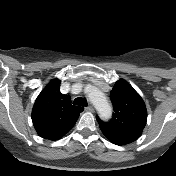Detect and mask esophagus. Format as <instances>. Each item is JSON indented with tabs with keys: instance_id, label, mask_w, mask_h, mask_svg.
<instances>
[{
	"instance_id": "34e87169",
	"label": "esophagus",
	"mask_w": 176,
	"mask_h": 176,
	"mask_svg": "<svg viewBox=\"0 0 176 176\" xmlns=\"http://www.w3.org/2000/svg\"><path fill=\"white\" fill-rule=\"evenodd\" d=\"M85 109L89 112H94V108L91 105L87 106Z\"/></svg>"
}]
</instances>
